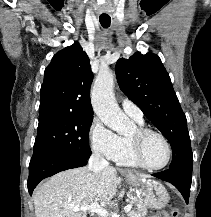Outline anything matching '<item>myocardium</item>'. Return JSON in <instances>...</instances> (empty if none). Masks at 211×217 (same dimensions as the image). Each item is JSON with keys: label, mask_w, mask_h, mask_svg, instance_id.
I'll return each mask as SVG.
<instances>
[{"label": "myocardium", "mask_w": 211, "mask_h": 217, "mask_svg": "<svg viewBox=\"0 0 211 217\" xmlns=\"http://www.w3.org/2000/svg\"><path fill=\"white\" fill-rule=\"evenodd\" d=\"M150 135H157L159 136L165 143L167 147V159L164 164L160 166H150L146 163L144 156H143V145L145 140ZM130 145L131 151L135 161L138 163L139 166L151 170V171H158L166 168L172 159V147L168 140V138L160 131L150 129V128H138L133 135L130 136Z\"/></svg>", "instance_id": "f54148a6"}]
</instances>
